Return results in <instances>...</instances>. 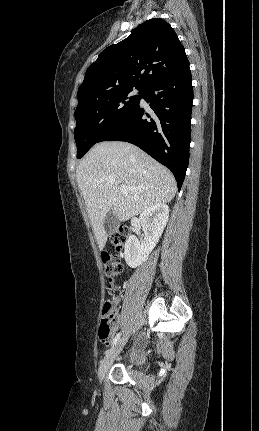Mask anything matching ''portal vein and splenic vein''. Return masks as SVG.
Masks as SVG:
<instances>
[{
    "mask_svg": "<svg viewBox=\"0 0 259 431\" xmlns=\"http://www.w3.org/2000/svg\"><path fill=\"white\" fill-rule=\"evenodd\" d=\"M119 190L121 193H127L128 191L131 190V188L126 185H120Z\"/></svg>",
    "mask_w": 259,
    "mask_h": 431,
    "instance_id": "18ae733b",
    "label": "portal vein and splenic vein"
}]
</instances>
